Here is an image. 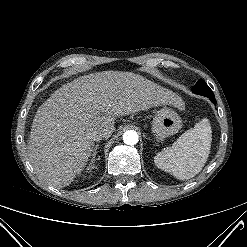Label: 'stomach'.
<instances>
[{
    "mask_svg": "<svg viewBox=\"0 0 247 247\" xmlns=\"http://www.w3.org/2000/svg\"><path fill=\"white\" fill-rule=\"evenodd\" d=\"M181 128V117L174 110L166 106L156 112L151 124V131L155 139L159 142L178 133Z\"/></svg>",
    "mask_w": 247,
    "mask_h": 247,
    "instance_id": "obj_1",
    "label": "stomach"
}]
</instances>
